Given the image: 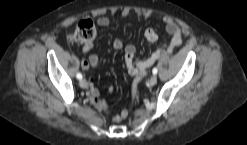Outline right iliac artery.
Returning <instances> with one entry per match:
<instances>
[{
    "mask_svg": "<svg viewBox=\"0 0 247 145\" xmlns=\"http://www.w3.org/2000/svg\"><path fill=\"white\" fill-rule=\"evenodd\" d=\"M76 77H77V79L81 80L82 79V74L81 73H77Z\"/></svg>",
    "mask_w": 247,
    "mask_h": 145,
    "instance_id": "1",
    "label": "right iliac artery"
}]
</instances>
